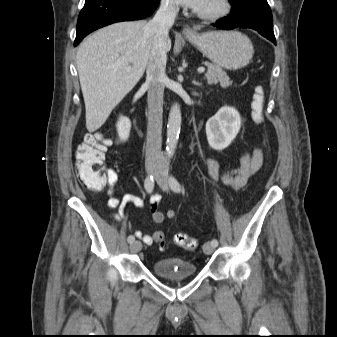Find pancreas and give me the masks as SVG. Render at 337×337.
<instances>
[{
    "label": "pancreas",
    "mask_w": 337,
    "mask_h": 337,
    "mask_svg": "<svg viewBox=\"0 0 337 337\" xmlns=\"http://www.w3.org/2000/svg\"><path fill=\"white\" fill-rule=\"evenodd\" d=\"M205 65L208 68L205 78L209 85L220 83L222 88L232 85V81H230V78L220 66L209 62H205Z\"/></svg>",
    "instance_id": "cf45deb5"
}]
</instances>
